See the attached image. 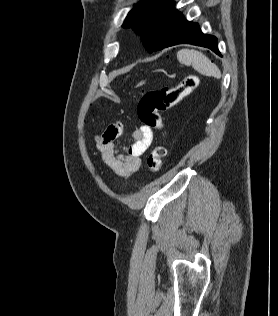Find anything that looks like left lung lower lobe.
Instances as JSON below:
<instances>
[{
  "label": "left lung lower lobe",
  "mask_w": 278,
  "mask_h": 316,
  "mask_svg": "<svg viewBox=\"0 0 278 316\" xmlns=\"http://www.w3.org/2000/svg\"><path fill=\"white\" fill-rule=\"evenodd\" d=\"M178 44H193L207 47L221 56L218 50L217 38L215 36L203 34L197 23L187 21L184 17L175 34L164 48Z\"/></svg>",
  "instance_id": "obj_1"
}]
</instances>
